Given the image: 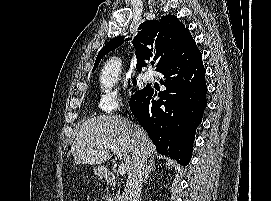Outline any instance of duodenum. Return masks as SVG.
Returning a JSON list of instances; mask_svg holds the SVG:
<instances>
[{"label": "duodenum", "instance_id": "obj_1", "mask_svg": "<svg viewBox=\"0 0 271 201\" xmlns=\"http://www.w3.org/2000/svg\"><path fill=\"white\" fill-rule=\"evenodd\" d=\"M103 177H104L105 182L108 185H110V186H117L118 185V181H117L115 175L111 171H105Z\"/></svg>", "mask_w": 271, "mask_h": 201}]
</instances>
